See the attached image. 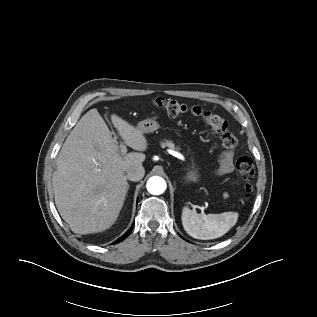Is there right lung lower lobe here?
Returning <instances> with one entry per match:
<instances>
[{"instance_id":"right-lung-lower-lobe-1","label":"right lung lower lobe","mask_w":317,"mask_h":317,"mask_svg":"<svg viewBox=\"0 0 317 317\" xmlns=\"http://www.w3.org/2000/svg\"><path fill=\"white\" fill-rule=\"evenodd\" d=\"M132 231V227L122 236L120 237L118 240H116L114 243H118L121 242L122 240H124Z\"/></svg>"}]
</instances>
